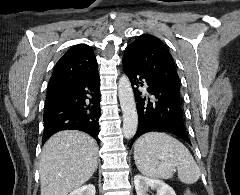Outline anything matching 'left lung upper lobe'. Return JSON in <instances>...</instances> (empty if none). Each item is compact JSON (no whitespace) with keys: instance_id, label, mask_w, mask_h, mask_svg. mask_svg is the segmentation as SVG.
<instances>
[{"instance_id":"obj_1","label":"left lung upper lobe","mask_w":240,"mask_h":195,"mask_svg":"<svg viewBox=\"0 0 240 195\" xmlns=\"http://www.w3.org/2000/svg\"><path fill=\"white\" fill-rule=\"evenodd\" d=\"M123 58L145 70L166 87L180 92L179 76L172 55L158 38L140 35L125 49Z\"/></svg>"}]
</instances>
